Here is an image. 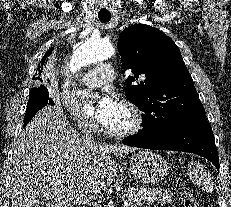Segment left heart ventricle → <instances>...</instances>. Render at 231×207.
<instances>
[{"instance_id": "1", "label": "left heart ventricle", "mask_w": 231, "mask_h": 207, "mask_svg": "<svg viewBox=\"0 0 231 207\" xmlns=\"http://www.w3.org/2000/svg\"><path fill=\"white\" fill-rule=\"evenodd\" d=\"M132 124V117L130 112L121 105L119 111L114 118L105 126L111 130H123Z\"/></svg>"}]
</instances>
